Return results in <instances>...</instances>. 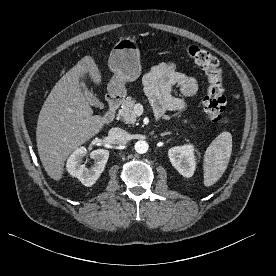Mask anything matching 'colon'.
<instances>
[{"instance_id":"5ec220e1","label":"colon","mask_w":276,"mask_h":276,"mask_svg":"<svg viewBox=\"0 0 276 276\" xmlns=\"http://www.w3.org/2000/svg\"><path fill=\"white\" fill-rule=\"evenodd\" d=\"M184 50L205 71L208 87L203 98V107L208 121L217 123L222 119L226 107L223 73L219 61L209 51L197 45H186Z\"/></svg>"}]
</instances>
